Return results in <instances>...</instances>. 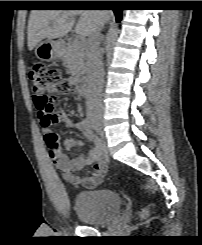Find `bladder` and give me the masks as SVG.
<instances>
[{"instance_id": "1", "label": "bladder", "mask_w": 202, "mask_h": 245, "mask_svg": "<svg viewBox=\"0 0 202 245\" xmlns=\"http://www.w3.org/2000/svg\"><path fill=\"white\" fill-rule=\"evenodd\" d=\"M122 208L118 192L111 189H85L74 201V210L84 224L101 226L116 217Z\"/></svg>"}]
</instances>
